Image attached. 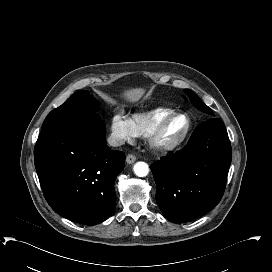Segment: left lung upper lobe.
<instances>
[{"label": "left lung upper lobe", "instance_id": "left-lung-upper-lobe-1", "mask_svg": "<svg viewBox=\"0 0 272 272\" xmlns=\"http://www.w3.org/2000/svg\"><path fill=\"white\" fill-rule=\"evenodd\" d=\"M184 92L188 95L189 99L191 100V102L193 103V105L198 108L199 110L209 113V114H213L212 110L206 106L202 100L190 89H184Z\"/></svg>", "mask_w": 272, "mask_h": 272}]
</instances>
